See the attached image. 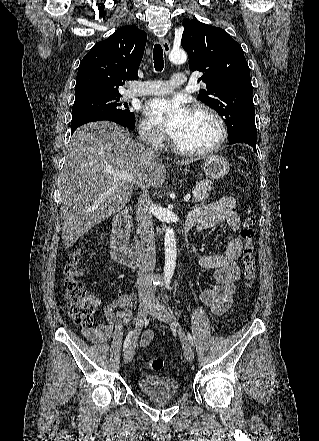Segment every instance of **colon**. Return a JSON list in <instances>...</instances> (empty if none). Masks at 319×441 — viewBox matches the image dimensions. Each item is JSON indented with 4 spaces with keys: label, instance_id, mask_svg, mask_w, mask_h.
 Wrapping results in <instances>:
<instances>
[{
    "label": "colon",
    "instance_id": "colon-1",
    "mask_svg": "<svg viewBox=\"0 0 319 441\" xmlns=\"http://www.w3.org/2000/svg\"><path fill=\"white\" fill-rule=\"evenodd\" d=\"M241 237L244 240L242 253L243 279L246 287H250L256 277V265L254 256L255 218L251 215V209L247 208L242 222ZM84 247H81L67 257L64 267V299L70 318L83 328L93 327V317L96 305L87 294L83 284L81 258ZM148 366L152 371H159L164 366L160 357L151 358Z\"/></svg>",
    "mask_w": 319,
    "mask_h": 441
}]
</instances>
